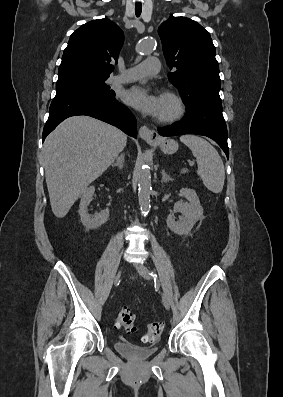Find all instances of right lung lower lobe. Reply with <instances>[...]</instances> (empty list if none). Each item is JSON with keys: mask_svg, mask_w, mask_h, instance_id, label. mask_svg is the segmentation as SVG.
Segmentation results:
<instances>
[{"mask_svg": "<svg viewBox=\"0 0 283 397\" xmlns=\"http://www.w3.org/2000/svg\"><path fill=\"white\" fill-rule=\"evenodd\" d=\"M75 115H88L121 129L136 138V119L132 113L115 98L92 93L71 92L56 95L49 108V117L44 126L42 139L64 119Z\"/></svg>", "mask_w": 283, "mask_h": 397, "instance_id": "right-lung-lower-lobe-1", "label": "right lung lower lobe"}]
</instances>
